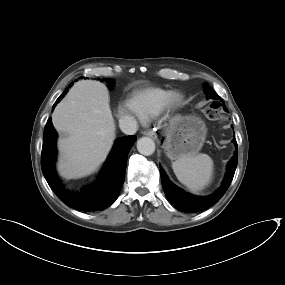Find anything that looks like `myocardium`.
Here are the masks:
<instances>
[{"mask_svg": "<svg viewBox=\"0 0 285 285\" xmlns=\"http://www.w3.org/2000/svg\"><path fill=\"white\" fill-rule=\"evenodd\" d=\"M184 102V96L178 92V91H173L170 92L167 103H166V108L169 110H174L179 108Z\"/></svg>", "mask_w": 285, "mask_h": 285, "instance_id": "myocardium-1", "label": "myocardium"}]
</instances>
